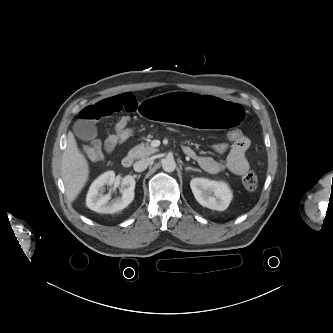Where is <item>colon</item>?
Listing matches in <instances>:
<instances>
[{"label": "colon", "mask_w": 333, "mask_h": 333, "mask_svg": "<svg viewBox=\"0 0 333 333\" xmlns=\"http://www.w3.org/2000/svg\"><path fill=\"white\" fill-rule=\"evenodd\" d=\"M115 134L118 138L119 143L126 142L132 138L135 134V130L128 124L115 128ZM244 135L239 129H230L227 132V138L232 141H238L243 138ZM85 156L93 162L100 161L103 159L104 154L101 149L87 148L84 150ZM243 186L248 190H254L258 186V176L253 170L246 172L242 178Z\"/></svg>", "instance_id": "colon-1"}]
</instances>
